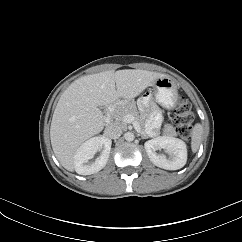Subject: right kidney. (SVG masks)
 Returning <instances> with one entry per match:
<instances>
[{"instance_id": "obj_1", "label": "right kidney", "mask_w": 242, "mask_h": 242, "mask_svg": "<svg viewBox=\"0 0 242 242\" xmlns=\"http://www.w3.org/2000/svg\"><path fill=\"white\" fill-rule=\"evenodd\" d=\"M111 144V140L104 136L93 137L85 141L74 155L75 171L80 175H90L103 169L110 155ZM100 150L102 153L95 162H89Z\"/></svg>"}]
</instances>
